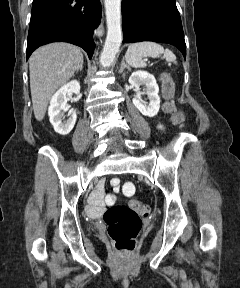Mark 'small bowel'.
I'll return each mask as SVG.
<instances>
[{"label":"small bowel","instance_id":"obj_1","mask_svg":"<svg viewBox=\"0 0 240 288\" xmlns=\"http://www.w3.org/2000/svg\"><path fill=\"white\" fill-rule=\"evenodd\" d=\"M160 129H162V126H159ZM112 186H113V191L115 193L119 192L120 187H119V180L118 179H113L112 180ZM127 188H131V191H127ZM125 192L128 195H131L133 192V185L131 183L126 184L125 186ZM109 201H112V199H109ZM104 187L103 183H100L96 190L92 193L90 199H89V204L87 206V213L91 217H98L104 209Z\"/></svg>","mask_w":240,"mask_h":288}]
</instances>
